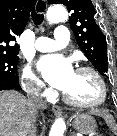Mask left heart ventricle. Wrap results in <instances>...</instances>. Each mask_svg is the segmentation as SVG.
Here are the masks:
<instances>
[{
  "mask_svg": "<svg viewBox=\"0 0 117 136\" xmlns=\"http://www.w3.org/2000/svg\"><path fill=\"white\" fill-rule=\"evenodd\" d=\"M66 94L78 102H93L100 96V88L96 78L88 72H75L65 90Z\"/></svg>",
  "mask_w": 117,
  "mask_h": 136,
  "instance_id": "b2bd125f",
  "label": "left heart ventricle"
}]
</instances>
